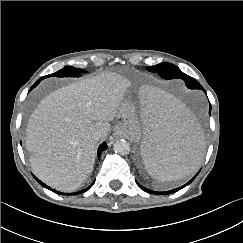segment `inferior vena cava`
Masks as SVG:
<instances>
[{"mask_svg": "<svg viewBox=\"0 0 243 243\" xmlns=\"http://www.w3.org/2000/svg\"><path fill=\"white\" fill-rule=\"evenodd\" d=\"M101 137H102V133L101 132H95L93 134V139L96 140V141H98L99 139H101Z\"/></svg>", "mask_w": 243, "mask_h": 243, "instance_id": "1", "label": "inferior vena cava"}]
</instances>
